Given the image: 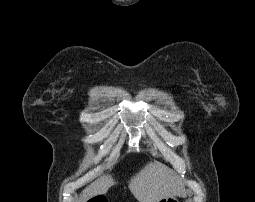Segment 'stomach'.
Wrapping results in <instances>:
<instances>
[{"mask_svg":"<svg viewBox=\"0 0 255 202\" xmlns=\"http://www.w3.org/2000/svg\"><path fill=\"white\" fill-rule=\"evenodd\" d=\"M159 202H180V201L175 196H169V197L162 198Z\"/></svg>","mask_w":255,"mask_h":202,"instance_id":"1","label":"stomach"}]
</instances>
